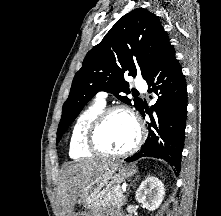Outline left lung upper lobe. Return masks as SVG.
I'll list each match as a JSON object with an SVG mask.
<instances>
[{"mask_svg":"<svg viewBox=\"0 0 221 216\" xmlns=\"http://www.w3.org/2000/svg\"><path fill=\"white\" fill-rule=\"evenodd\" d=\"M168 42L158 17L150 11L138 8L122 16L87 54L75 74L69 97L63 105L57 142L97 92H110L131 105V100L123 95L130 93L124 75L141 74L146 79ZM134 107L140 111L143 101L135 98Z\"/></svg>","mask_w":221,"mask_h":216,"instance_id":"left-lung-upper-lobe-1","label":"left lung upper lobe"}]
</instances>
